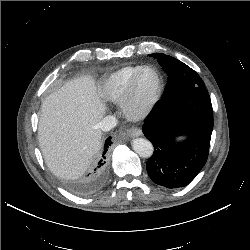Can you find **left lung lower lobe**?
Masks as SVG:
<instances>
[{
  "label": "left lung lower lobe",
  "instance_id": "obj_1",
  "mask_svg": "<svg viewBox=\"0 0 250 250\" xmlns=\"http://www.w3.org/2000/svg\"><path fill=\"white\" fill-rule=\"evenodd\" d=\"M212 129V104L205 87L160 99L143 125L154 146L146 163L149 177L167 188L187 186L207 161ZM179 136L187 138L177 143Z\"/></svg>",
  "mask_w": 250,
  "mask_h": 250
}]
</instances>
